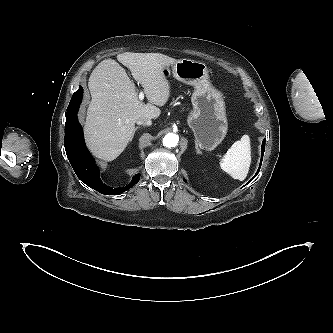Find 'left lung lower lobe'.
I'll return each mask as SVG.
<instances>
[{
  "label": "left lung lower lobe",
  "instance_id": "left-lung-lower-lobe-1",
  "mask_svg": "<svg viewBox=\"0 0 333 333\" xmlns=\"http://www.w3.org/2000/svg\"><path fill=\"white\" fill-rule=\"evenodd\" d=\"M264 149H265V140H263V143H262V149H261V163H262V159H263ZM261 163H260V167H261ZM260 167H259V169H258L256 175L258 174V172H259V170H260ZM256 175H255V176H256ZM255 176H254V177H255Z\"/></svg>",
  "mask_w": 333,
  "mask_h": 333
}]
</instances>
